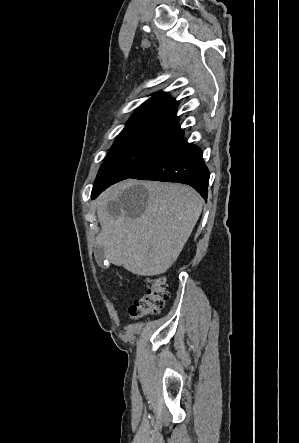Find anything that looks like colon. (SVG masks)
I'll return each mask as SVG.
<instances>
[{"label": "colon", "instance_id": "colon-1", "mask_svg": "<svg viewBox=\"0 0 299 443\" xmlns=\"http://www.w3.org/2000/svg\"><path fill=\"white\" fill-rule=\"evenodd\" d=\"M167 297L165 279L163 277H150L147 279L145 293L130 305L129 314L132 318L157 314L163 308Z\"/></svg>", "mask_w": 299, "mask_h": 443}]
</instances>
